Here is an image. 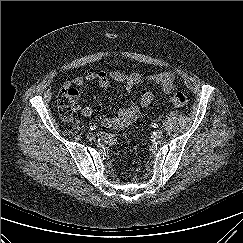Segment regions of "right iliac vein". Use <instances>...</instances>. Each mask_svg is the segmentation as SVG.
<instances>
[{"mask_svg": "<svg viewBox=\"0 0 243 243\" xmlns=\"http://www.w3.org/2000/svg\"><path fill=\"white\" fill-rule=\"evenodd\" d=\"M87 138H88L90 141H95V135H94L92 132H88V133H87Z\"/></svg>", "mask_w": 243, "mask_h": 243, "instance_id": "1", "label": "right iliac vein"}]
</instances>
